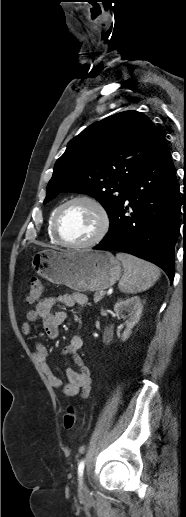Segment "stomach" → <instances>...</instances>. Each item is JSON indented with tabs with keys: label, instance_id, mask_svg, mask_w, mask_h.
Wrapping results in <instances>:
<instances>
[{
	"label": "stomach",
	"instance_id": "stomach-1",
	"mask_svg": "<svg viewBox=\"0 0 186 517\" xmlns=\"http://www.w3.org/2000/svg\"><path fill=\"white\" fill-rule=\"evenodd\" d=\"M34 270L48 281L78 292L111 287L121 275L120 262L107 251L43 250L33 255Z\"/></svg>",
	"mask_w": 186,
	"mask_h": 517
}]
</instances>
